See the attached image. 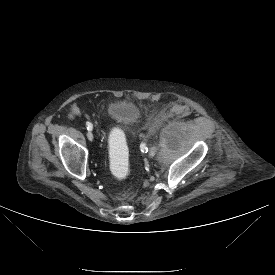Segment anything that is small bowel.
Segmentation results:
<instances>
[{"instance_id":"obj_1","label":"small bowel","mask_w":275,"mask_h":275,"mask_svg":"<svg viewBox=\"0 0 275 275\" xmlns=\"http://www.w3.org/2000/svg\"><path fill=\"white\" fill-rule=\"evenodd\" d=\"M65 113L70 120L76 121L83 116L84 110L79 103L73 102L66 107Z\"/></svg>"}]
</instances>
